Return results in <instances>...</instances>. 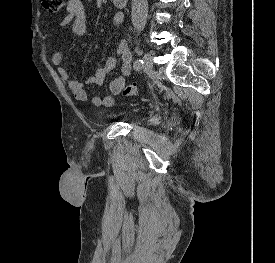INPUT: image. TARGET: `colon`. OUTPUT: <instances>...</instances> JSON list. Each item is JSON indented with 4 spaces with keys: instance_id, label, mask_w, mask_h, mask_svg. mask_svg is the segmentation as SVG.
Masks as SVG:
<instances>
[{
    "instance_id": "colon-1",
    "label": "colon",
    "mask_w": 275,
    "mask_h": 263,
    "mask_svg": "<svg viewBox=\"0 0 275 263\" xmlns=\"http://www.w3.org/2000/svg\"><path fill=\"white\" fill-rule=\"evenodd\" d=\"M43 7L49 13H58L66 5L67 0H43ZM138 88L135 85H128L123 89L124 96L138 95Z\"/></svg>"
}]
</instances>
